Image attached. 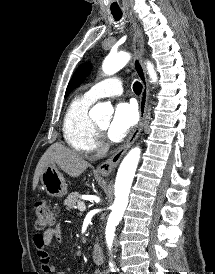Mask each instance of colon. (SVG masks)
I'll return each mask as SVG.
<instances>
[{"label": "colon", "mask_w": 215, "mask_h": 274, "mask_svg": "<svg viewBox=\"0 0 215 274\" xmlns=\"http://www.w3.org/2000/svg\"><path fill=\"white\" fill-rule=\"evenodd\" d=\"M35 227L38 230H44L54 223V214L46 201L40 200L35 203Z\"/></svg>", "instance_id": "colon-1"}]
</instances>
